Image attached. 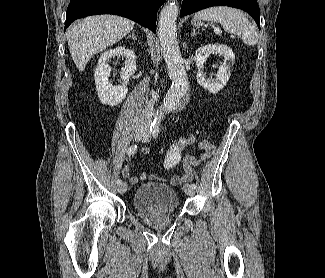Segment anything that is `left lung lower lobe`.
<instances>
[{"mask_svg": "<svg viewBox=\"0 0 325 278\" xmlns=\"http://www.w3.org/2000/svg\"><path fill=\"white\" fill-rule=\"evenodd\" d=\"M212 6H229L242 9L253 17L260 29V10L257 0H183L180 17Z\"/></svg>", "mask_w": 325, "mask_h": 278, "instance_id": "0a47b994", "label": "left lung lower lobe"}]
</instances>
